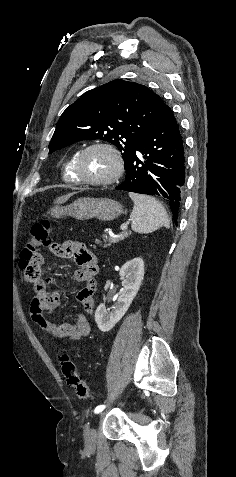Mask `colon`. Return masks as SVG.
Listing matches in <instances>:
<instances>
[{
    "instance_id": "5ec220e1",
    "label": "colon",
    "mask_w": 236,
    "mask_h": 477,
    "mask_svg": "<svg viewBox=\"0 0 236 477\" xmlns=\"http://www.w3.org/2000/svg\"><path fill=\"white\" fill-rule=\"evenodd\" d=\"M51 244L50 223L42 220L31 227V235L27 240L21 254L20 266L24 270L26 279L33 285L34 291L41 289L42 280L41 265L43 257L42 246ZM61 370L68 385L74 388L77 396L82 400H91L92 392L87 381L80 374L79 369L73 359L68 354H63L60 358Z\"/></svg>"
}]
</instances>
